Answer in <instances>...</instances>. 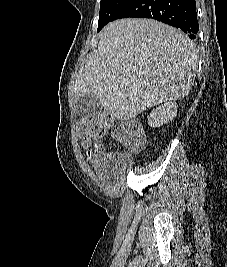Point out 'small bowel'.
<instances>
[{
	"label": "small bowel",
	"mask_w": 227,
	"mask_h": 267,
	"mask_svg": "<svg viewBox=\"0 0 227 267\" xmlns=\"http://www.w3.org/2000/svg\"><path fill=\"white\" fill-rule=\"evenodd\" d=\"M115 136H118V131L115 132ZM82 145L88 149L87 155L89 159L91 160V162L93 163L94 167L96 169H100L102 166V163L104 162L106 158L98 153V150H97L98 145H96V149H89V147L91 146V141L89 139H84L82 141Z\"/></svg>",
	"instance_id": "c3829d8e"
}]
</instances>
